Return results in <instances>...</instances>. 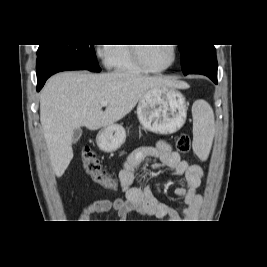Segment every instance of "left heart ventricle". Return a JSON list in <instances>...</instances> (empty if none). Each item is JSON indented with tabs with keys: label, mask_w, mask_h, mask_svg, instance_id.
<instances>
[{
	"label": "left heart ventricle",
	"mask_w": 267,
	"mask_h": 267,
	"mask_svg": "<svg viewBox=\"0 0 267 267\" xmlns=\"http://www.w3.org/2000/svg\"><path fill=\"white\" fill-rule=\"evenodd\" d=\"M141 52L146 63L153 68H161L172 60V48L170 44L142 46Z\"/></svg>",
	"instance_id": "1"
}]
</instances>
